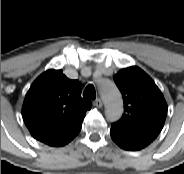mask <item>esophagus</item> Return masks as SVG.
<instances>
[{
  "mask_svg": "<svg viewBox=\"0 0 184 174\" xmlns=\"http://www.w3.org/2000/svg\"><path fill=\"white\" fill-rule=\"evenodd\" d=\"M94 106L101 108L103 106V102L100 98H97L94 102H93Z\"/></svg>",
  "mask_w": 184,
  "mask_h": 174,
  "instance_id": "obj_1",
  "label": "esophagus"
}]
</instances>
